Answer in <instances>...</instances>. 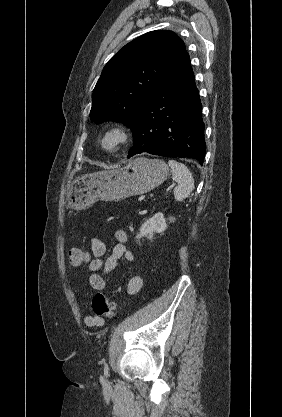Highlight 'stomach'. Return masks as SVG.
Wrapping results in <instances>:
<instances>
[{
    "mask_svg": "<svg viewBox=\"0 0 282 417\" xmlns=\"http://www.w3.org/2000/svg\"><path fill=\"white\" fill-rule=\"evenodd\" d=\"M168 174L164 160L138 156L123 168L99 170L76 178L68 194V204L74 211H83L96 200H122L143 194L162 184Z\"/></svg>",
    "mask_w": 282,
    "mask_h": 417,
    "instance_id": "stomach-1",
    "label": "stomach"
}]
</instances>
